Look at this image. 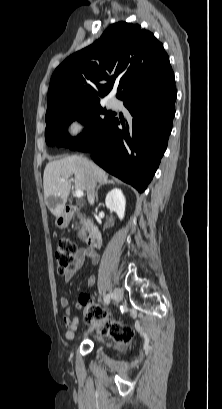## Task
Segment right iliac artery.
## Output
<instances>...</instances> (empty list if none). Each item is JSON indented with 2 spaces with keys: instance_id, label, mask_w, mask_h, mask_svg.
<instances>
[{
  "instance_id": "82829eb1",
  "label": "right iliac artery",
  "mask_w": 222,
  "mask_h": 409,
  "mask_svg": "<svg viewBox=\"0 0 222 409\" xmlns=\"http://www.w3.org/2000/svg\"><path fill=\"white\" fill-rule=\"evenodd\" d=\"M112 297H113V294H112V293L107 294V295L104 297V302L108 305V304L110 303V300H111Z\"/></svg>"
}]
</instances>
